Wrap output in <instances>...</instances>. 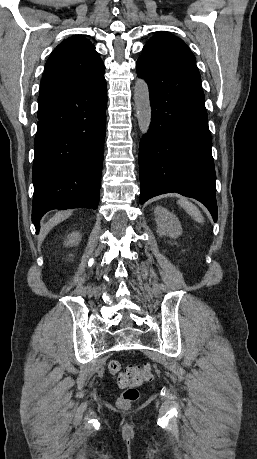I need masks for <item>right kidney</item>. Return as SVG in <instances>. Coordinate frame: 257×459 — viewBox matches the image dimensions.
Segmentation results:
<instances>
[{"label": "right kidney", "instance_id": "1", "mask_svg": "<svg viewBox=\"0 0 257 459\" xmlns=\"http://www.w3.org/2000/svg\"><path fill=\"white\" fill-rule=\"evenodd\" d=\"M81 240V236L78 232H72L71 234L68 235V239L65 242L66 245L72 246V245H77L79 244Z\"/></svg>", "mask_w": 257, "mask_h": 459}]
</instances>
